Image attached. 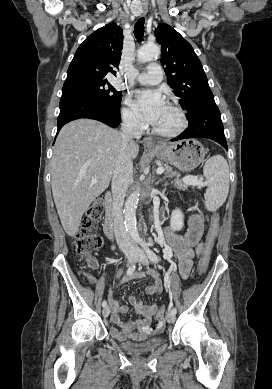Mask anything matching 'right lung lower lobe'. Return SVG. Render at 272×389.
Wrapping results in <instances>:
<instances>
[{"label":"right lung lower lobe","mask_w":272,"mask_h":389,"mask_svg":"<svg viewBox=\"0 0 272 389\" xmlns=\"http://www.w3.org/2000/svg\"><path fill=\"white\" fill-rule=\"evenodd\" d=\"M59 107L57 132L64 124L79 118L95 119L110 127H117L121 122L120 107H110L87 97H61Z\"/></svg>","instance_id":"right-lung-lower-lobe-1"}]
</instances>
